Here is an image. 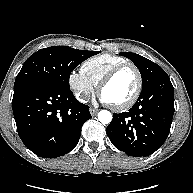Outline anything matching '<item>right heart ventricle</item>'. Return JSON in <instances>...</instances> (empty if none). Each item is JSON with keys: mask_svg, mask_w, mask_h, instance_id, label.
I'll use <instances>...</instances> for the list:
<instances>
[{"mask_svg": "<svg viewBox=\"0 0 193 193\" xmlns=\"http://www.w3.org/2000/svg\"><path fill=\"white\" fill-rule=\"evenodd\" d=\"M127 62L129 61L124 57L104 53L86 59L81 65V72L94 86H97L110 70Z\"/></svg>", "mask_w": 193, "mask_h": 193, "instance_id": "obj_1", "label": "right heart ventricle"}]
</instances>
